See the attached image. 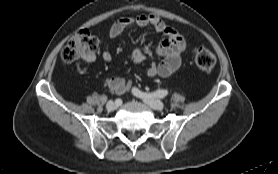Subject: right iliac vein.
Instances as JSON below:
<instances>
[{
  "mask_svg": "<svg viewBox=\"0 0 278 174\" xmlns=\"http://www.w3.org/2000/svg\"><path fill=\"white\" fill-rule=\"evenodd\" d=\"M118 105L116 103H114L113 101H109L106 104V108L108 111H114L115 109H117Z\"/></svg>",
  "mask_w": 278,
  "mask_h": 174,
  "instance_id": "right-iliac-vein-1",
  "label": "right iliac vein"
}]
</instances>
